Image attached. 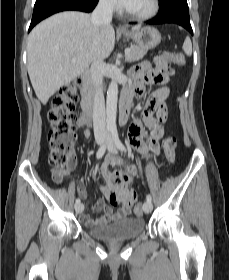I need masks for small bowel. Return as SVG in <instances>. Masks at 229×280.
<instances>
[{
  "mask_svg": "<svg viewBox=\"0 0 229 280\" xmlns=\"http://www.w3.org/2000/svg\"><path fill=\"white\" fill-rule=\"evenodd\" d=\"M155 83L153 75L150 71L148 63H141L135 67L133 73V83L124 89L137 98L141 97L145 86ZM170 90L167 87H161L154 90L144 107L143 120L136 119L129 129V141L131 145L144 157H148L149 153L156 152L158 149V140L161 136V121L167 116V108L165 101L169 97ZM154 113L156 116L154 117ZM143 121L152 126L149 132L145 131ZM85 137L89 138L90 133L85 132ZM75 166V159L72 158L69 163V168ZM120 166L123 170L112 172L110 167ZM100 175L105 181V185L100 187V191L106 199L112 194L117 196L115 203L107 204L103 201L97 202L90 210L95 212H103L104 215L98 218H93L90 214H84L81 217L84 225L94 226L97 224H107L115 219L126 217L130 214L134 202L135 195L132 188L128 187L134 177L138 174L135 166H125L123 159L117 155H108L99 169ZM120 178L122 182H117ZM78 195L82 199L88 196L86 190V182L81 181L77 188ZM119 205L117 211L113 206Z\"/></svg>",
  "mask_w": 229,
  "mask_h": 280,
  "instance_id": "c3829d8e",
  "label": "small bowel"
}]
</instances>
